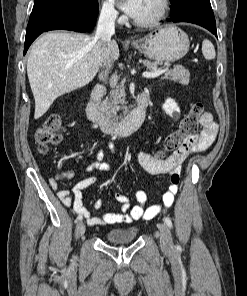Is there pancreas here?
<instances>
[{"label": "pancreas", "instance_id": "obj_1", "mask_svg": "<svg viewBox=\"0 0 247 296\" xmlns=\"http://www.w3.org/2000/svg\"><path fill=\"white\" fill-rule=\"evenodd\" d=\"M143 64L150 69L151 71L160 70L158 66L161 65L159 62H151L144 60ZM165 69H168L167 67ZM190 73L189 70L181 65H175L174 69L167 70L164 72L162 79H169L174 82H179L180 84L187 85L189 83ZM126 93L124 85L121 84L113 89L110 93V96L107 97L101 107L106 116L113 121H118L122 118L121 114H118L119 111H123L124 114H127L129 108L127 107V101L125 99Z\"/></svg>", "mask_w": 247, "mask_h": 296}]
</instances>
